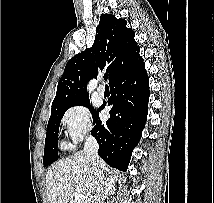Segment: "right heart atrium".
Listing matches in <instances>:
<instances>
[{
	"instance_id": "1",
	"label": "right heart atrium",
	"mask_w": 214,
	"mask_h": 203,
	"mask_svg": "<svg viewBox=\"0 0 214 203\" xmlns=\"http://www.w3.org/2000/svg\"><path fill=\"white\" fill-rule=\"evenodd\" d=\"M61 125L71 142L78 143L82 141L92 128L88 107L84 104L71 106L64 112Z\"/></svg>"
}]
</instances>
